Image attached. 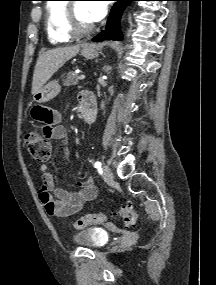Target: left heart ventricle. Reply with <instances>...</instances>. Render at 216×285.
Wrapping results in <instances>:
<instances>
[{
  "label": "left heart ventricle",
  "instance_id": "1",
  "mask_svg": "<svg viewBox=\"0 0 216 285\" xmlns=\"http://www.w3.org/2000/svg\"><path fill=\"white\" fill-rule=\"evenodd\" d=\"M75 13L79 23L83 26H89L92 23L89 21L86 15L85 3L76 2L75 3Z\"/></svg>",
  "mask_w": 216,
  "mask_h": 285
}]
</instances>
